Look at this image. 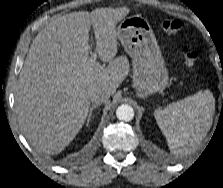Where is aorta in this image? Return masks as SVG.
Listing matches in <instances>:
<instances>
[{
	"mask_svg": "<svg viewBox=\"0 0 223 188\" xmlns=\"http://www.w3.org/2000/svg\"><path fill=\"white\" fill-rule=\"evenodd\" d=\"M116 116L121 121L129 122L134 118L133 108L128 104H122L117 108Z\"/></svg>",
	"mask_w": 223,
	"mask_h": 188,
	"instance_id": "1",
	"label": "aorta"
}]
</instances>
